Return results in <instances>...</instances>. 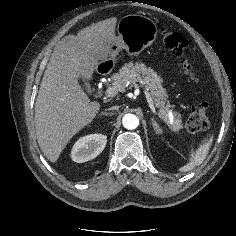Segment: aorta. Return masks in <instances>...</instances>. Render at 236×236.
I'll return each mask as SVG.
<instances>
[{
	"mask_svg": "<svg viewBox=\"0 0 236 236\" xmlns=\"http://www.w3.org/2000/svg\"><path fill=\"white\" fill-rule=\"evenodd\" d=\"M122 124L126 129L133 130L138 127L139 119L134 114H125L122 119Z\"/></svg>",
	"mask_w": 236,
	"mask_h": 236,
	"instance_id": "762f6f07",
	"label": "aorta"
}]
</instances>
